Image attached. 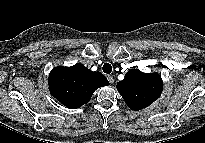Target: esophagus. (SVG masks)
<instances>
[{
	"label": "esophagus",
	"instance_id": "34e87169",
	"mask_svg": "<svg viewBox=\"0 0 205 143\" xmlns=\"http://www.w3.org/2000/svg\"><path fill=\"white\" fill-rule=\"evenodd\" d=\"M107 79H108V81H109L111 84L114 83V78H113V76L108 75V76H107Z\"/></svg>",
	"mask_w": 205,
	"mask_h": 143
}]
</instances>
